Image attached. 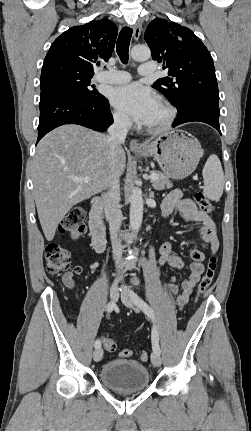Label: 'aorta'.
<instances>
[{
	"label": "aorta",
	"instance_id": "1",
	"mask_svg": "<svg viewBox=\"0 0 251 431\" xmlns=\"http://www.w3.org/2000/svg\"><path fill=\"white\" fill-rule=\"evenodd\" d=\"M131 57L136 61H145L151 57V51L147 46L137 45L131 50ZM143 196L140 188L135 187L130 195V228L137 232L143 219Z\"/></svg>",
	"mask_w": 251,
	"mask_h": 431
}]
</instances>
